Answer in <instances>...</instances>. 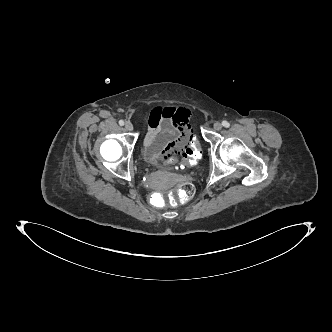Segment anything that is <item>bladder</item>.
<instances>
[{
  "instance_id": "bladder-1",
  "label": "bladder",
  "mask_w": 332,
  "mask_h": 332,
  "mask_svg": "<svg viewBox=\"0 0 332 332\" xmlns=\"http://www.w3.org/2000/svg\"><path fill=\"white\" fill-rule=\"evenodd\" d=\"M144 160L148 165L155 166V167H159L162 164L170 163L169 158H164V159H161V160L153 159V158L149 157L146 154V152H144Z\"/></svg>"
}]
</instances>
